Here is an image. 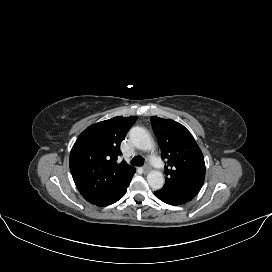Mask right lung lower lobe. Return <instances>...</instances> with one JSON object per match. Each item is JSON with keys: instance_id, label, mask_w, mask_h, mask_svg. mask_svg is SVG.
<instances>
[{"instance_id": "right-lung-lower-lobe-1", "label": "right lung lower lobe", "mask_w": 272, "mask_h": 272, "mask_svg": "<svg viewBox=\"0 0 272 272\" xmlns=\"http://www.w3.org/2000/svg\"><path fill=\"white\" fill-rule=\"evenodd\" d=\"M131 179H132V177L128 180V182L125 185L120 187L119 190H117L115 193H113L112 195H110L109 197L105 198L104 200L98 202L95 205H97L99 207H104V206H108L110 204H113L116 201H118L119 199H121L125 195V193L127 191V187L129 186Z\"/></svg>"}]
</instances>
